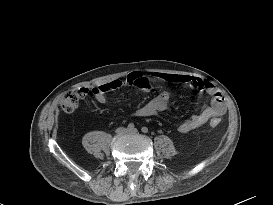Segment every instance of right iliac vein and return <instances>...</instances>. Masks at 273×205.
Here are the masks:
<instances>
[{"label":"right iliac vein","instance_id":"right-iliac-vein-1","mask_svg":"<svg viewBox=\"0 0 273 205\" xmlns=\"http://www.w3.org/2000/svg\"><path fill=\"white\" fill-rule=\"evenodd\" d=\"M116 133L119 135H123V134L127 133V129L124 127H120L116 130Z\"/></svg>","mask_w":273,"mask_h":205}]
</instances>
